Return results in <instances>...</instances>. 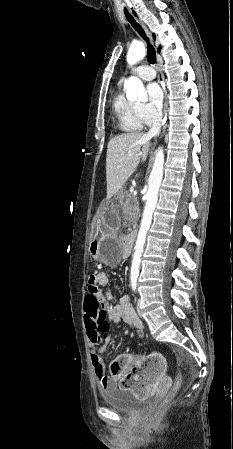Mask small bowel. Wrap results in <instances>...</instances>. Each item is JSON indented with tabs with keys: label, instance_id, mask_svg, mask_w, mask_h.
<instances>
[{
	"label": "small bowel",
	"instance_id": "1",
	"mask_svg": "<svg viewBox=\"0 0 233 449\" xmlns=\"http://www.w3.org/2000/svg\"><path fill=\"white\" fill-rule=\"evenodd\" d=\"M110 284V277L105 272L91 270L87 275V291L90 296H99L100 306L107 311L109 321L117 323L123 321L132 325L139 336L143 334L142 321L134 312L128 295H123L116 301L111 293H105ZM85 328L88 344L91 349V361L101 390L111 389L115 384L127 377L130 378V389L133 390V399H152L154 394H161L160 377L165 376L164 354H151L150 361L145 368L139 369V375H130L128 365L138 362L141 356L133 353L125 354L115 359L110 365V374L106 373L105 362L102 354L106 351L111 341L110 335L102 336L98 328ZM132 366V365H131Z\"/></svg>",
	"mask_w": 233,
	"mask_h": 449
}]
</instances>
